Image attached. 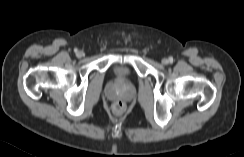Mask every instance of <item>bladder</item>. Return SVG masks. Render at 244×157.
I'll return each mask as SVG.
<instances>
[{
	"mask_svg": "<svg viewBox=\"0 0 244 157\" xmlns=\"http://www.w3.org/2000/svg\"><path fill=\"white\" fill-rule=\"evenodd\" d=\"M112 74L119 82H124L130 77L131 69L127 65L117 64L113 66Z\"/></svg>",
	"mask_w": 244,
	"mask_h": 157,
	"instance_id": "obj_1",
	"label": "bladder"
}]
</instances>
